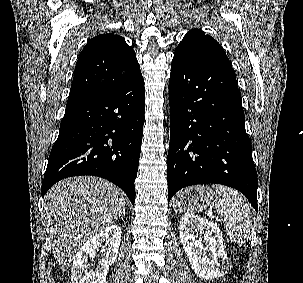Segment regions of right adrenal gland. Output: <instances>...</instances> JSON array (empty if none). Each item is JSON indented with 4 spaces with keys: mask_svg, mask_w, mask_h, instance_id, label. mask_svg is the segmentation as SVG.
<instances>
[{
    "mask_svg": "<svg viewBox=\"0 0 303 283\" xmlns=\"http://www.w3.org/2000/svg\"><path fill=\"white\" fill-rule=\"evenodd\" d=\"M125 209H123L122 216L125 217Z\"/></svg>",
    "mask_w": 303,
    "mask_h": 283,
    "instance_id": "1",
    "label": "right adrenal gland"
}]
</instances>
